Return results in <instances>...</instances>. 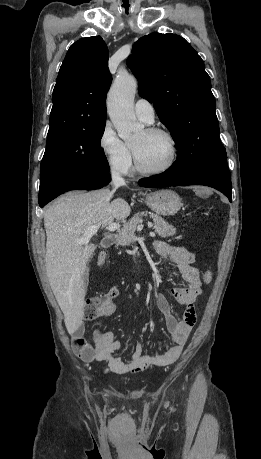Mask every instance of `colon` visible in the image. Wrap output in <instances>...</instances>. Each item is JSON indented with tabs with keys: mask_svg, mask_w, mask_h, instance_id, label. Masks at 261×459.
Segmentation results:
<instances>
[{
	"mask_svg": "<svg viewBox=\"0 0 261 459\" xmlns=\"http://www.w3.org/2000/svg\"><path fill=\"white\" fill-rule=\"evenodd\" d=\"M198 197H213L214 189L213 188H198L197 189ZM98 262L103 264L105 262V255L100 254L98 257ZM204 283L209 284L212 280V273L206 271L203 276ZM111 294L107 291L104 293L97 294L87 299L85 304V318L87 320L95 319L100 311L109 303L111 299Z\"/></svg>",
	"mask_w": 261,
	"mask_h": 459,
	"instance_id": "colon-1",
	"label": "colon"
}]
</instances>
